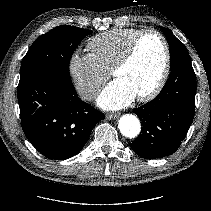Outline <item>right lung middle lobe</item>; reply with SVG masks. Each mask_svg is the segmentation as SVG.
Masks as SVG:
<instances>
[{
  "mask_svg": "<svg viewBox=\"0 0 211 211\" xmlns=\"http://www.w3.org/2000/svg\"><path fill=\"white\" fill-rule=\"evenodd\" d=\"M90 33V30L61 25L39 36L22 60L20 81L41 72H52L71 79V56L81 40Z\"/></svg>",
  "mask_w": 211,
  "mask_h": 211,
  "instance_id": "obj_1",
  "label": "right lung middle lobe"
}]
</instances>
